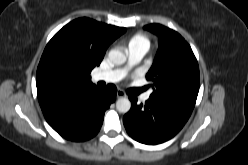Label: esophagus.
<instances>
[{"instance_id": "1", "label": "esophagus", "mask_w": 248, "mask_h": 165, "mask_svg": "<svg viewBox=\"0 0 248 165\" xmlns=\"http://www.w3.org/2000/svg\"><path fill=\"white\" fill-rule=\"evenodd\" d=\"M125 96H126V94L123 90H121V89L117 90V98H121V97H125Z\"/></svg>"}]
</instances>
